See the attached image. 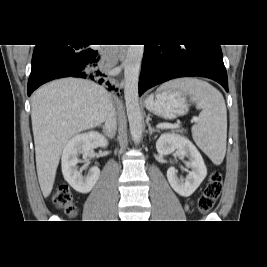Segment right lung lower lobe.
<instances>
[{
    "instance_id": "right-lung-lower-lobe-1",
    "label": "right lung lower lobe",
    "mask_w": 267,
    "mask_h": 267,
    "mask_svg": "<svg viewBox=\"0 0 267 267\" xmlns=\"http://www.w3.org/2000/svg\"><path fill=\"white\" fill-rule=\"evenodd\" d=\"M63 77L90 79L117 90L107 81L104 60L89 45H36L28 81V96L40 85Z\"/></svg>"
}]
</instances>
